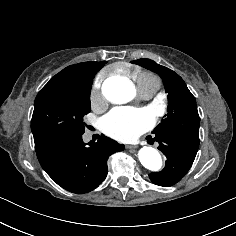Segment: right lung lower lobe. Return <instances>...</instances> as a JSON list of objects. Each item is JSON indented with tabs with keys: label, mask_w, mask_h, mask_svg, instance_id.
<instances>
[{
	"label": "right lung lower lobe",
	"mask_w": 236,
	"mask_h": 236,
	"mask_svg": "<svg viewBox=\"0 0 236 236\" xmlns=\"http://www.w3.org/2000/svg\"><path fill=\"white\" fill-rule=\"evenodd\" d=\"M82 135L59 133L34 139L42 168L59 186L77 194L95 189L106 178L108 157L124 149L106 136L86 144Z\"/></svg>",
	"instance_id": "obj_1"
}]
</instances>
